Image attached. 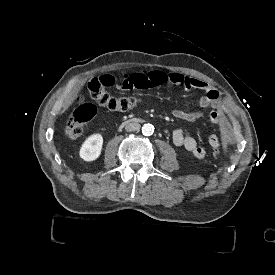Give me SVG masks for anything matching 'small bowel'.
<instances>
[{
    "instance_id": "small-bowel-1",
    "label": "small bowel",
    "mask_w": 275,
    "mask_h": 275,
    "mask_svg": "<svg viewBox=\"0 0 275 275\" xmlns=\"http://www.w3.org/2000/svg\"><path fill=\"white\" fill-rule=\"evenodd\" d=\"M116 85L123 90L151 89L164 85H181L186 90H200L204 93L198 101L199 107L202 110L184 111L176 109L173 111V116L179 120L194 121L204 116L203 110L211 109L208 114L209 121L214 124L220 122L222 111L220 94L205 81L192 79L179 72L152 70L125 73ZM172 141L176 146L183 147L197 159H204L206 157V150L193 137L185 135L181 130L173 132ZM208 144L210 147L214 145L212 150L218 152L222 147V140L218 135L210 134L208 136Z\"/></svg>"
}]
</instances>
